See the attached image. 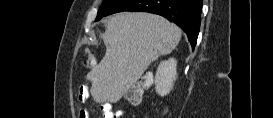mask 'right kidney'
I'll return each mask as SVG.
<instances>
[{"label": "right kidney", "mask_w": 273, "mask_h": 118, "mask_svg": "<svg viewBox=\"0 0 273 118\" xmlns=\"http://www.w3.org/2000/svg\"><path fill=\"white\" fill-rule=\"evenodd\" d=\"M177 61L174 58L162 61L155 75V89L161 95H167L173 88L174 81L177 79Z\"/></svg>", "instance_id": "right-kidney-1"}]
</instances>
